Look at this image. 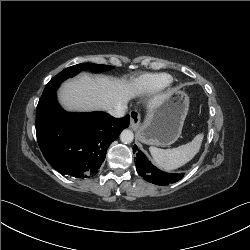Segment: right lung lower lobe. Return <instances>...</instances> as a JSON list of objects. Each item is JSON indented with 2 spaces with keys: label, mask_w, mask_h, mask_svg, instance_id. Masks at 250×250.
I'll list each match as a JSON object with an SVG mask.
<instances>
[{
  "label": "right lung lower lobe",
  "mask_w": 250,
  "mask_h": 250,
  "mask_svg": "<svg viewBox=\"0 0 250 250\" xmlns=\"http://www.w3.org/2000/svg\"><path fill=\"white\" fill-rule=\"evenodd\" d=\"M58 86L44 92L36 109V135L47 162L61 174L78 179L95 175L108 146L129 126V115L68 113L58 104Z\"/></svg>",
  "instance_id": "1"
}]
</instances>
